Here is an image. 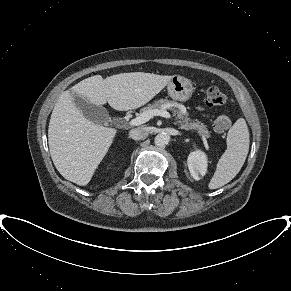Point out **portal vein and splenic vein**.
<instances>
[{
    "label": "portal vein and splenic vein",
    "instance_id": "portal-vein-and-splenic-vein-1",
    "mask_svg": "<svg viewBox=\"0 0 291 291\" xmlns=\"http://www.w3.org/2000/svg\"><path fill=\"white\" fill-rule=\"evenodd\" d=\"M154 116H162L164 118L170 119L171 115L169 112H167L166 110H152V111H146L144 113H141L140 116L132 119L129 122L130 126H139L141 124H144L146 122H148L152 117Z\"/></svg>",
    "mask_w": 291,
    "mask_h": 291
}]
</instances>
